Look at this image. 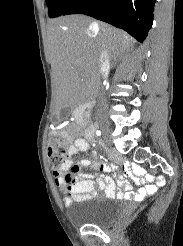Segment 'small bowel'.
<instances>
[{"label": "small bowel", "mask_w": 183, "mask_h": 246, "mask_svg": "<svg viewBox=\"0 0 183 246\" xmlns=\"http://www.w3.org/2000/svg\"><path fill=\"white\" fill-rule=\"evenodd\" d=\"M70 139L68 134L65 135ZM89 150L88 140L79 138L74 141L67 149L68 158L58 171H54V181L57 188L60 190L67 205L73 202H79L89 199L95 195V184L93 178L101 173L96 181L98 189L104 190L108 197H120L127 199L142 200L144 197L148 198L149 195L155 193L158 185H164V180H155V184L144 185L145 181H152L156 178L155 174H144V169L136 165H123L125 171V178L117 174L116 180L121 188H116V182L111 178L108 173L116 169L115 165L101 162L97 158V154L92 152L93 160L83 158L78 163L73 164L71 157L79 151L85 152ZM82 168L90 169L92 172H80ZM71 171H76L72 172ZM135 174L140 178L136 179V183L141 186L136 194H132V185L126 179H135ZM69 178H71L69 180ZM158 179L162 178L161 174L157 175Z\"/></svg>", "instance_id": "small-bowel-1"}]
</instances>
